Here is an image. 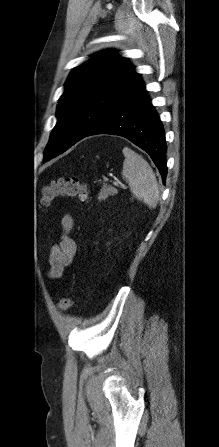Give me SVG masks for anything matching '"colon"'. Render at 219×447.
<instances>
[{
    "mask_svg": "<svg viewBox=\"0 0 219 447\" xmlns=\"http://www.w3.org/2000/svg\"><path fill=\"white\" fill-rule=\"evenodd\" d=\"M66 196L77 197L82 202H86L89 199L90 190L87 185L76 177L58 179L42 188L41 203L47 207L56 198ZM73 302L72 296H65L59 301L58 308L63 312L68 311L72 307Z\"/></svg>",
    "mask_w": 219,
    "mask_h": 447,
    "instance_id": "obj_1",
    "label": "colon"
}]
</instances>
